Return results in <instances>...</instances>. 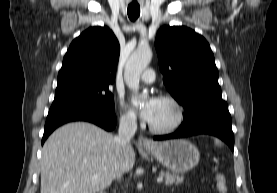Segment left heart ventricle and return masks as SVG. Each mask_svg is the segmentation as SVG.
<instances>
[{
	"label": "left heart ventricle",
	"mask_w": 277,
	"mask_h": 193,
	"mask_svg": "<svg viewBox=\"0 0 277 193\" xmlns=\"http://www.w3.org/2000/svg\"><path fill=\"white\" fill-rule=\"evenodd\" d=\"M175 116L174 107L166 101L159 100L150 124L156 127H166L174 121Z\"/></svg>",
	"instance_id": "obj_1"
}]
</instances>
